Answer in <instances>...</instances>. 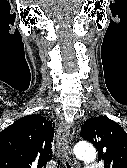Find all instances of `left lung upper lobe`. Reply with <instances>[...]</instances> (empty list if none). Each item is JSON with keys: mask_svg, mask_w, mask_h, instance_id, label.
Returning <instances> with one entry per match:
<instances>
[{"mask_svg": "<svg viewBox=\"0 0 127 168\" xmlns=\"http://www.w3.org/2000/svg\"><path fill=\"white\" fill-rule=\"evenodd\" d=\"M80 134L95 145L104 168H127V133L118 123L104 116L91 117Z\"/></svg>", "mask_w": 127, "mask_h": 168, "instance_id": "1", "label": "left lung upper lobe"}]
</instances>
